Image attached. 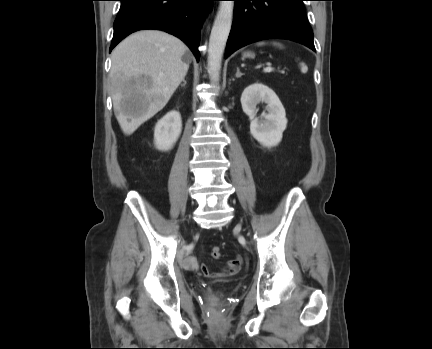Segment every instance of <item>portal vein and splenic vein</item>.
<instances>
[{
  "label": "portal vein and splenic vein",
  "mask_w": 432,
  "mask_h": 349,
  "mask_svg": "<svg viewBox=\"0 0 432 349\" xmlns=\"http://www.w3.org/2000/svg\"><path fill=\"white\" fill-rule=\"evenodd\" d=\"M274 69L271 66L264 68V72H272Z\"/></svg>",
  "instance_id": "1"
}]
</instances>
